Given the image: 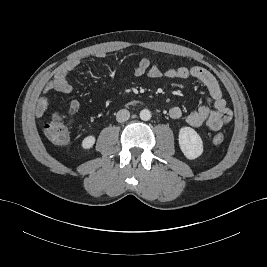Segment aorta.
Returning a JSON list of instances; mask_svg holds the SVG:
<instances>
[{
  "instance_id": "obj_1",
  "label": "aorta",
  "mask_w": 267,
  "mask_h": 267,
  "mask_svg": "<svg viewBox=\"0 0 267 267\" xmlns=\"http://www.w3.org/2000/svg\"><path fill=\"white\" fill-rule=\"evenodd\" d=\"M140 118L143 121H148L151 119V112L148 109H143L140 111Z\"/></svg>"
}]
</instances>
